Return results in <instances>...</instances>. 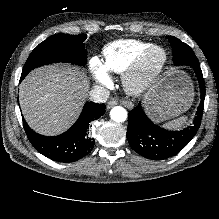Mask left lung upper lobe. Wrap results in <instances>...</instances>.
<instances>
[{
    "instance_id": "obj_1",
    "label": "left lung upper lobe",
    "mask_w": 219,
    "mask_h": 219,
    "mask_svg": "<svg viewBox=\"0 0 219 219\" xmlns=\"http://www.w3.org/2000/svg\"><path fill=\"white\" fill-rule=\"evenodd\" d=\"M173 48V61L176 65L199 66L193 50L175 37H168Z\"/></svg>"
}]
</instances>
